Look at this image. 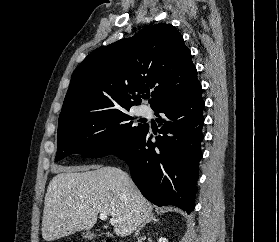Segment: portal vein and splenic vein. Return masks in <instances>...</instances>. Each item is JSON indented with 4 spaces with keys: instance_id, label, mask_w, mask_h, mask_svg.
Here are the masks:
<instances>
[{
    "instance_id": "1",
    "label": "portal vein and splenic vein",
    "mask_w": 279,
    "mask_h": 242,
    "mask_svg": "<svg viewBox=\"0 0 279 242\" xmlns=\"http://www.w3.org/2000/svg\"><path fill=\"white\" fill-rule=\"evenodd\" d=\"M99 218L101 219V220H104V221H106L107 219H108V215L107 214H105V213H101L100 215H99ZM116 219H114V218H111L110 220H109V223L111 224V225H115L116 224Z\"/></svg>"
}]
</instances>
